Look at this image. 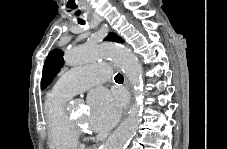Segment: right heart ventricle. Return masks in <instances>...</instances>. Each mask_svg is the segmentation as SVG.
Returning <instances> with one entry per match:
<instances>
[{
	"label": "right heart ventricle",
	"instance_id": "1",
	"mask_svg": "<svg viewBox=\"0 0 227 149\" xmlns=\"http://www.w3.org/2000/svg\"><path fill=\"white\" fill-rule=\"evenodd\" d=\"M70 96L51 90L45 99L44 114L51 149H73L78 145V134L71 128L65 112Z\"/></svg>",
	"mask_w": 227,
	"mask_h": 149
}]
</instances>
